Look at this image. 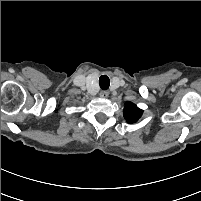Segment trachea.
Here are the masks:
<instances>
[{
  "mask_svg": "<svg viewBox=\"0 0 201 201\" xmlns=\"http://www.w3.org/2000/svg\"><path fill=\"white\" fill-rule=\"evenodd\" d=\"M99 85L102 90H107L110 86L109 77L106 75H102L99 78Z\"/></svg>",
  "mask_w": 201,
  "mask_h": 201,
  "instance_id": "obj_1",
  "label": "trachea"
}]
</instances>
